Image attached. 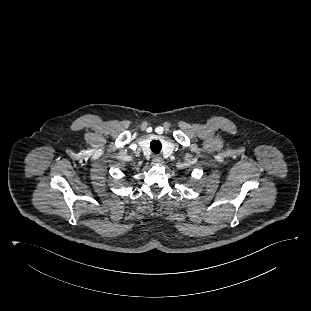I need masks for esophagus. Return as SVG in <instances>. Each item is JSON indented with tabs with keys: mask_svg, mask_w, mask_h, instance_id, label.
Segmentation results:
<instances>
[{
	"mask_svg": "<svg viewBox=\"0 0 311 311\" xmlns=\"http://www.w3.org/2000/svg\"><path fill=\"white\" fill-rule=\"evenodd\" d=\"M152 162H153V164H155V165H162L163 164V159L160 157V156H158V155H155L154 157H153V159H152Z\"/></svg>",
	"mask_w": 311,
	"mask_h": 311,
	"instance_id": "34e87169",
	"label": "esophagus"
}]
</instances>
